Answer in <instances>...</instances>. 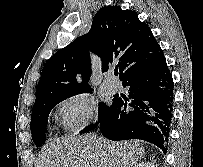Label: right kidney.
Here are the masks:
<instances>
[{
    "label": "right kidney",
    "instance_id": "obj_1",
    "mask_svg": "<svg viewBox=\"0 0 203 167\" xmlns=\"http://www.w3.org/2000/svg\"><path fill=\"white\" fill-rule=\"evenodd\" d=\"M134 167H157L153 162H141Z\"/></svg>",
    "mask_w": 203,
    "mask_h": 167
}]
</instances>
